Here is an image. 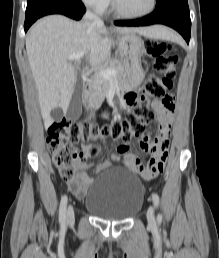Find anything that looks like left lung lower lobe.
<instances>
[{"label":"left lung lower lobe","instance_id":"0a47b994","mask_svg":"<svg viewBox=\"0 0 219 258\" xmlns=\"http://www.w3.org/2000/svg\"><path fill=\"white\" fill-rule=\"evenodd\" d=\"M164 24L177 30L189 43L191 20L187 0H169L157 6L153 13L136 20L115 21L117 26H147Z\"/></svg>","mask_w":219,"mask_h":258}]
</instances>
